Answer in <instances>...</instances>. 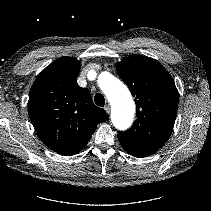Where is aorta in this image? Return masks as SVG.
<instances>
[{"instance_id": "obj_1", "label": "aorta", "mask_w": 211, "mask_h": 211, "mask_svg": "<svg viewBox=\"0 0 211 211\" xmlns=\"http://www.w3.org/2000/svg\"><path fill=\"white\" fill-rule=\"evenodd\" d=\"M98 84L113 104L112 122L119 130H126L133 122L135 104L128 88L109 72H102Z\"/></svg>"}]
</instances>
